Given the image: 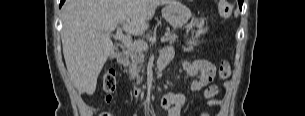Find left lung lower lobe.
I'll return each instance as SVG.
<instances>
[{
  "label": "left lung lower lobe",
  "mask_w": 305,
  "mask_h": 116,
  "mask_svg": "<svg viewBox=\"0 0 305 116\" xmlns=\"http://www.w3.org/2000/svg\"><path fill=\"white\" fill-rule=\"evenodd\" d=\"M242 0H239V6L241 7L242 6Z\"/></svg>",
  "instance_id": "0a47b994"
}]
</instances>
